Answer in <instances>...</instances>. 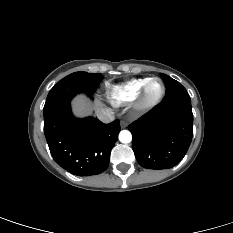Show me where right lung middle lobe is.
<instances>
[{
	"label": "right lung middle lobe",
	"instance_id": "dd1d6c3e",
	"mask_svg": "<svg viewBox=\"0 0 233 233\" xmlns=\"http://www.w3.org/2000/svg\"><path fill=\"white\" fill-rule=\"evenodd\" d=\"M102 79V74L100 73H72L60 80L51 89L47 96L45 106L63 98L74 97L78 93L93 94Z\"/></svg>",
	"mask_w": 233,
	"mask_h": 233
}]
</instances>
